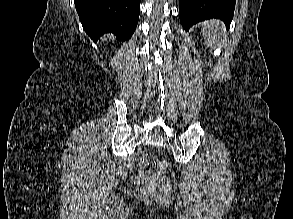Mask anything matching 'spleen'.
<instances>
[{
	"instance_id": "1",
	"label": "spleen",
	"mask_w": 293,
	"mask_h": 219,
	"mask_svg": "<svg viewBox=\"0 0 293 219\" xmlns=\"http://www.w3.org/2000/svg\"><path fill=\"white\" fill-rule=\"evenodd\" d=\"M223 30L224 26L222 22L218 20L206 21L201 27L203 37L206 40L207 44L211 47H217L220 45L223 38Z\"/></svg>"
}]
</instances>
